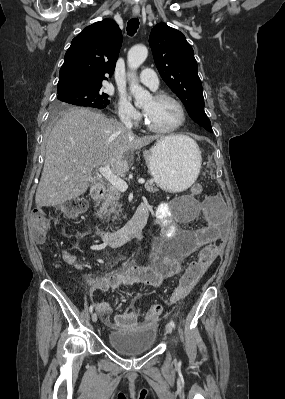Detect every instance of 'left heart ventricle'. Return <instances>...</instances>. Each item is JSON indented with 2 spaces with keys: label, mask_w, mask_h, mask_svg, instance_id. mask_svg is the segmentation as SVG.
Listing matches in <instances>:
<instances>
[{
  "label": "left heart ventricle",
  "mask_w": 285,
  "mask_h": 399,
  "mask_svg": "<svg viewBox=\"0 0 285 399\" xmlns=\"http://www.w3.org/2000/svg\"><path fill=\"white\" fill-rule=\"evenodd\" d=\"M143 109L147 118L159 128H170L180 123L182 113L179 106L172 100H148Z\"/></svg>",
  "instance_id": "1"
}]
</instances>
